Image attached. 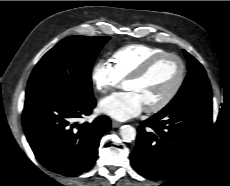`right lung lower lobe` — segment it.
Listing matches in <instances>:
<instances>
[{"label": "right lung lower lobe", "instance_id": "right-lung-lower-lobe-1", "mask_svg": "<svg viewBox=\"0 0 230 186\" xmlns=\"http://www.w3.org/2000/svg\"><path fill=\"white\" fill-rule=\"evenodd\" d=\"M94 96L50 92L25 100L23 128L36 159L51 171L75 176L88 171L98 155L101 136L111 127L107 116L77 124L91 114Z\"/></svg>", "mask_w": 230, "mask_h": 186}]
</instances>
